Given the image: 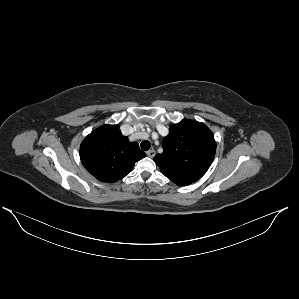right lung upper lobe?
I'll return each instance as SVG.
<instances>
[{
	"label": "right lung upper lobe",
	"instance_id": "1",
	"mask_svg": "<svg viewBox=\"0 0 299 299\" xmlns=\"http://www.w3.org/2000/svg\"><path fill=\"white\" fill-rule=\"evenodd\" d=\"M146 154L138 143L129 142L118 125H103L92 131L80 146L86 170L102 182H115L126 176L135 162Z\"/></svg>",
	"mask_w": 299,
	"mask_h": 299
}]
</instances>
